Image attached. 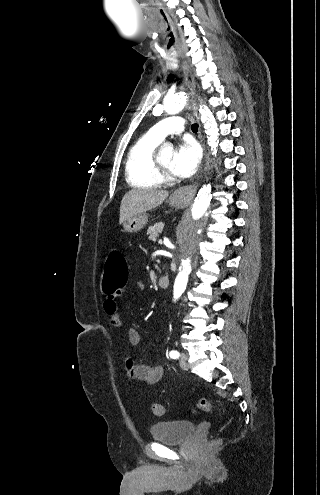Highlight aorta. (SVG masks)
Wrapping results in <instances>:
<instances>
[{
    "mask_svg": "<svg viewBox=\"0 0 320 495\" xmlns=\"http://www.w3.org/2000/svg\"><path fill=\"white\" fill-rule=\"evenodd\" d=\"M187 100L186 94L183 93L166 97L163 101V110L169 115H175L187 105ZM154 110H157V107ZM200 113L208 144L211 147L212 154L216 157L219 143L216 120L208 107H203ZM217 210L218 205L212 197L210 185L205 184L198 192L190 212L183 218L177 229V243L183 264L175 279L174 300L179 299L187 287L189 275L192 271L193 254L205 231L213 224V218L217 214Z\"/></svg>",
    "mask_w": 320,
    "mask_h": 495,
    "instance_id": "762f6f07",
    "label": "aorta"
}]
</instances>
